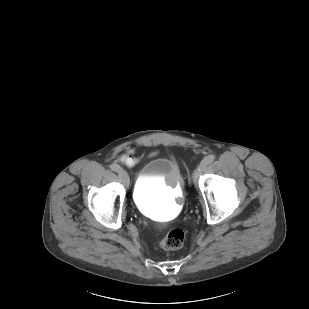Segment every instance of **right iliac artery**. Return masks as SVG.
I'll list each match as a JSON object with an SVG mask.
<instances>
[{
  "instance_id": "82829eb1",
  "label": "right iliac artery",
  "mask_w": 309,
  "mask_h": 309,
  "mask_svg": "<svg viewBox=\"0 0 309 309\" xmlns=\"http://www.w3.org/2000/svg\"><path fill=\"white\" fill-rule=\"evenodd\" d=\"M110 168H111V170L118 172L119 169H120V166L113 163V164L110 165Z\"/></svg>"
}]
</instances>
